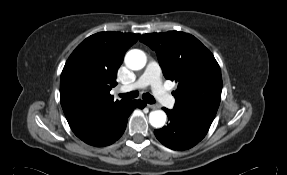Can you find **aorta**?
<instances>
[{"label":"aorta","instance_id":"obj_1","mask_svg":"<svg viewBox=\"0 0 287 175\" xmlns=\"http://www.w3.org/2000/svg\"><path fill=\"white\" fill-rule=\"evenodd\" d=\"M125 64L131 70H140L146 65V55L139 49L130 50L125 56ZM166 114L162 110H155L149 114V123L155 128H162L166 122Z\"/></svg>","mask_w":287,"mask_h":175}]
</instances>
